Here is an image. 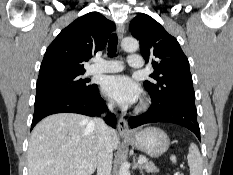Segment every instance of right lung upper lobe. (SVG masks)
I'll return each mask as SVG.
<instances>
[{
  "label": "right lung upper lobe",
  "mask_w": 233,
  "mask_h": 175,
  "mask_svg": "<svg viewBox=\"0 0 233 175\" xmlns=\"http://www.w3.org/2000/svg\"><path fill=\"white\" fill-rule=\"evenodd\" d=\"M115 24L98 12H90L64 28L47 48L39 77L83 72L84 62L105 48Z\"/></svg>",
  "instance_id": "1"
}]
</instances>
